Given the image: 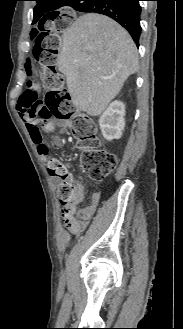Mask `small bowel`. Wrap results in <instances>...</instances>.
I'll return each mask as SVG.
<instances>
[{
  "label": "small bowel",
  "instance_id": "small-bowel-1",
  "mask_svg": "<svg viewBox=\"0 0 183 329\" xmlns=\"http://www.w3.org/2000/svg\"><path fill=\"white\" fill-rule=\"evenodd\" d=\"M19 115L31 137L32 142L35 145H37L40 153L43 156H46L48 154V149L46 152L41 151V147L45 143L43 142V138L39 129L35 125L34 116L31 114H19ZM60 126L62 129H65L67 127V123L61 122ZM64 143L65 140L63 137L59 136L55 139V144L58 147L63 146ZM72 179L74 184L79 190V194H80L79 203H80L85 195V188L81 181L75 179L74 177H72ZM99 200H100V195L98 193H93L90 197L89 203L82 209H79V203H78V205L62 211V218L65 224L70 226L71 231L80 232L86 228V226L90 222L91 217L94 215L98 207Z\"/></svg>",
  "mask_w": 183,
  "mask_h": 329
}]
</instances>
